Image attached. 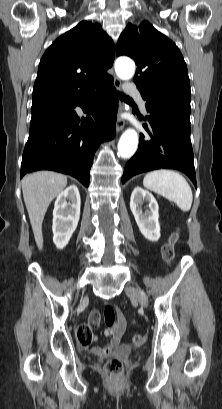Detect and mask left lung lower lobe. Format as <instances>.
Returning a JSON list of instances; mask_svg holds the SVG:
<instances>
[{
  "instance_id": "1",
  "label": "left lung lower lobe",
  "mask_w": 222,
  "mask_h": 409,
  "mask_svg": "<svg viewBox=\"0 0 222 409\" xmlns=\"http://www.w3.org/2000/svg\"><path fill=\"white\" fill-rule=\"evenodd\" d=\"M148 139L140 135L139 149L126 164L122 183L130 177L155 169L184 172L196 184L194 156L190 141V113L178 102L147 108Z\"/></svg>"
}]
</instances>
